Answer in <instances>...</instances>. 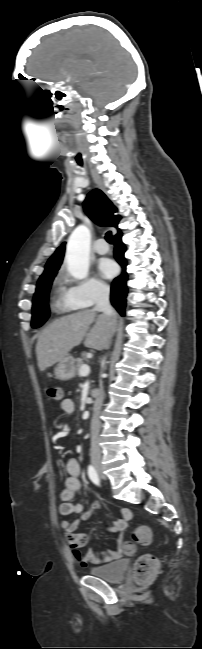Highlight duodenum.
<instances>
[{
  "label": "duodenum",
  "instance_id": "1",
  "mask_svg": "<svg viewBox=\"0 0 202 649\" xmlns=\"http://www.w3.org/2000/svg\"><path fill=\"white\" fill-rule=\"evenodd\" d=\"M91 396L93 397V399L97 400V399H99L100 394H99V392L97 390H92L91 391Z\"/></svg>",
  "mask_w": 202,
  "mask_h": 649
}]
</instances>
